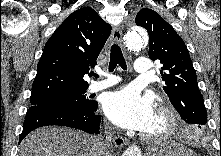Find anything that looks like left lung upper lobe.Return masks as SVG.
Returning a JSON list of instances; mask_svg holds the SVG:
<instances>
[{"label":"left lung upper lobe","instance_id":"left-lung-upper-lobe-1","mask_svg":"<svg viewBox=\"0 0 221 156\" xmlns=\"http://www.w3.org/2000/svg\"><path fill=\"white\" fill-rule=\"evenodd\" d=\"M135 22L148 31L150 59H158L163 64L160 71L165 83L163 89L172 105L186 123L204 128L207 112L185 43L154 10L141 9Z\"/></svg>","mask_w":221,"mask_h":156}]
</instances>
